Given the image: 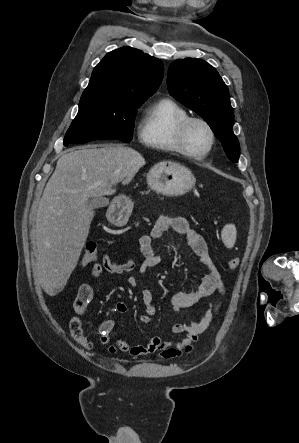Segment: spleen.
<instances>
[{
	"mask_svg": "<svg viewBox=\"0 0 299 443\" xmlns=\"http://www.w3.org/2000/svg\"><path fill=\"white\" fill-rule=\"evenodd\" d=\"M236 234H237L236 228L232 224H228L223 228L221 232V237L226 247L228 248L233 247L236 241Z\"/></svg>",
	"mask_w": 299,
	"mask_h": 443,
	"instance_id": "3e777b00",
	"label": "spleen"
}]
</instances>
